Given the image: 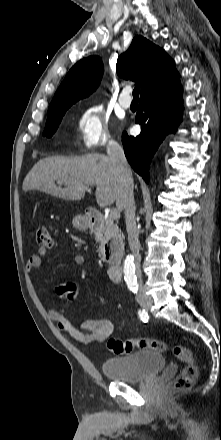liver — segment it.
<instances>
[{"label":"liver","mask_w":221,"mask_h":440,"mask_svg":"<svg viewBox=\"0 0 221 440\" xmlns=\"http://www.w3.org/2000/svg\"><path fill=\"white\" fill-rule=\"evenodd\" d=\"M63 184L65 187H58ZM95 185L100 207L116 202L121 205L119 179L106 155L93 153L77 158L48 157L38 161L23 182V190H37L66 200L79 201L85 196L83 187Z\"/></svg>","instance_id":"obj_1"}]
</instances>
